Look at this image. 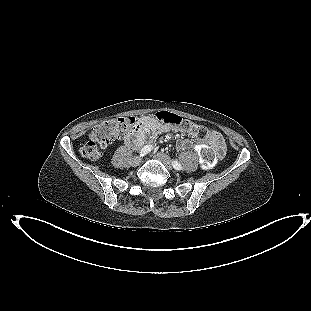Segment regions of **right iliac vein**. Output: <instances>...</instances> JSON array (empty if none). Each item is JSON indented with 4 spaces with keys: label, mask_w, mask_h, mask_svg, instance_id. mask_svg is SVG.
I'll return each mask as SVG.
<instances>
[{
    "label": "right iliac vein",
    "mask_w": 311,
    "mask_h": 311,
    "mask_svg": "<svg viewBox=\"0 0 311 311\" xmlns=\"http://www.w3.org/2000/svg\"><path fill=\"white\" fill-rule=\"evenodd\" d=\"M142 162V158L140 156L134 157L131 161L132 166H138Z\"/></svg>",
    "instance_id": "1"
}]
</instances>
